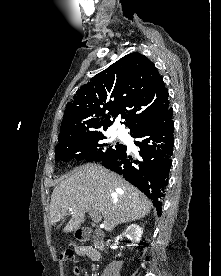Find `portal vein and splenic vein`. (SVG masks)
Listing matches in <instances>:
<instances>
[{"label": "portal vein and splenic vein", "mask_w": 221, "mask_h": 276, "mask_svg": "<svg viewBox=\"0 0 221 276\" xmlns=\"http://www.w3.org/2000/svg\"><path fill=\"white\" fill-rule=\"evenodd\" d=\"M89 215L91 216L92 220L96 223L100 222L102 219V216L99 213L89 212Z\"/></svg>", "instance_id": "18ae733b"}]
</instances>
